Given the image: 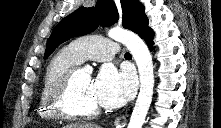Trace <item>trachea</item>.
I'll list each match as a JSON object with an SVG mask.
<instances>
[{
  "mask_svg": "<svg viewBox=\"0 0 221 128\" xmlns=\"http://www.w3.org/2000/svg\"><path fill=\"white\" fill-rule=\"evenodd\" d=\"M131 55H130V53H125V57H130Z\"/></svg>",
  "mask_w": 221,
  "mask_h": 128,
  "instance_id": "1",
  "label": "trachea"
}]
</instances>
